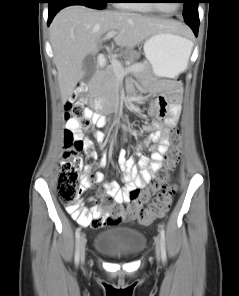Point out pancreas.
<instances>
[{
	"label": "pancreas",
	"instance_id": "cf45deb5",
	"mask_svg": "<svg viewBox=\"0 0 239 296\" xmlns=\"http://www.w3.org/2000/svg\"><path fill=\"white\" fill-rule=\"evenodd\" d=\"M138 55L135 51H126L124 58L133 61ZM134 65H140L143 67L141 71H138L135 75L137 77L149 78L151 75L150 66L148 63H138ZM118 92V76L115 74L112 66H108L104 71L100 73L97 78L96 85L92 91L93 95H97L101 99H109L115 97Z\"/></svg>",
	"mask_w": 239,
	"mask_h": 296
}]
</instances>
